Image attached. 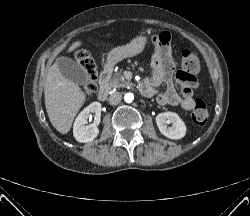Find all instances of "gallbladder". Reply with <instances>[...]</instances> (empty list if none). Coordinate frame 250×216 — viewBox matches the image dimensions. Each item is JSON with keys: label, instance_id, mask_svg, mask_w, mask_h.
<instances>
[{"label": "gallbladder", "instance_id": "gallbladder-1", "mask_svg": "<svg viewBox=\"0 0 250 216\" xmlns=\"http://www.w3.org/2000/svg\"><path fill=\"white\" fill-rule=\"evenodd\" d=\"M59 70L70 81L78 85L88 82V74L85 69L68 57H60L57 60Z\"/></svg>", "mask_w": 250, "mask_h": 216}]
</instances>
